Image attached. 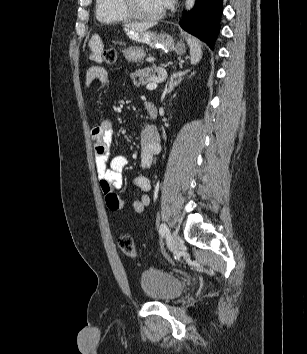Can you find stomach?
<instances>
[{
  "mask_svg": "<svg viewBox=\"0 0 307 354\" xmlns=\"http://www.w3.org/2000/svg\"><path fill=\"white\" fill-rule=\"evenodd\" d=\"M134 41L145 43L152 48H160L167 51H176L182 54L185 47L182 43H175L173 38L167 33L155 34L151 32H140L138 38H131ZM124 57L129 62H140L146 56L145 51L140 47H129L123 52Z\"/></svg>",
  "mask_w": 307,
  "mask_h": 354,
  "instance_id": "stomach-1",
  "label": "stomach"
}]
</instances>
